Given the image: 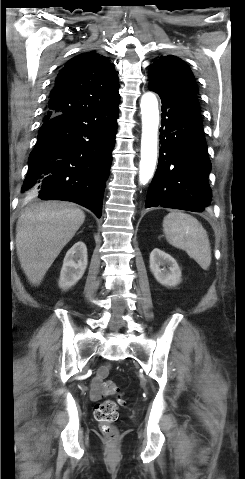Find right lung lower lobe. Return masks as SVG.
Listing matches in <instances>:
<instances>
[{
	"label": "right lung lower lobe",
	"instance_id": "1",
	"mask_svg": "<svg viewBox=\"0 0 245 479\" xmlns=\"http://www.w3.org/2000/svg\"><path fill=\"white\" fill-rule=\"evenodd\" d=\"M117 118L118 106L93 107L44 121L22 192L30 198L72 201L100 218Z\"/></svg>",
	"mask_w": 245,
	"mask_h": 479
}]
</instances>
